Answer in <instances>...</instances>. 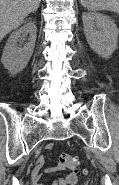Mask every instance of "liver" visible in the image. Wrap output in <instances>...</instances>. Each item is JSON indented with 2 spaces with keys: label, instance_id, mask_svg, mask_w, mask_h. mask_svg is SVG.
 Wrapping results in <instances>:
<instances>
[{
  "label": "liver",
  "instance_id": "1",
  "mask_svg": "<svg viewBox=\"0 0 119 185\" xmlns=\"http://www.w3.org/2000/svg\"><path fill=\"white\" fill-rule=\"evenodd\" d=\"M41 0H0V41L35 12Z\"/></svg>",
  "mask_w": 119,
  "mask_h": 185
}]
</instances>
